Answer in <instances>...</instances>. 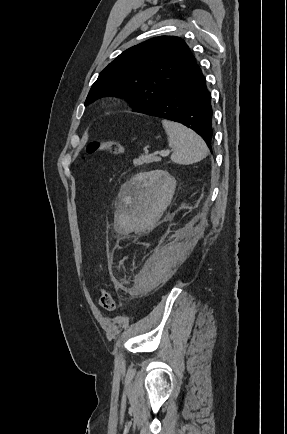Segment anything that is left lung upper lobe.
<instances>
[{
  "mask_svg": "<svg viewBox=\"0 0 287 434\" xmlns=\"http://www.w3.org/2000/svg\"><path fill=\"white\" fill-rule=\"evenodd\" d=\"M195 65V57L181 38H152L112 61L91 87L85 105L114 95L127 98L133 111L139 112L155 105Z\"/></svg>",
  "mask_w": 287,
  "mask_h": 434,
  "instance_id": "left-lung-upper-lobe-1",
  "label": "left lung upper lobe"
}]
</instances>
